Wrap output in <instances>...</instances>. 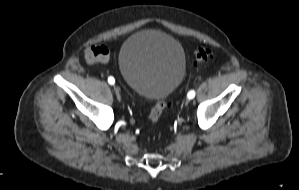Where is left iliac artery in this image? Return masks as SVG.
I'll use <instances>...</instances> for the list:
<instances>
[{"mask_svg": "<svg viewBox=\"0 0 299 190\" xmlns=\"http://www.w3.org/2000/svg\"><path fill=\"white\" fill-rule=\"evenodd\" d=\"M187 96H188L189 99L194 98V97H195V91H194V90H191V91L188 93Z\"/></svg>", "mask_w": 299, "mask_h": 190, "instance_id": "left-iliac-artery-1", "label": "left iliac artery"}]
</instances>
